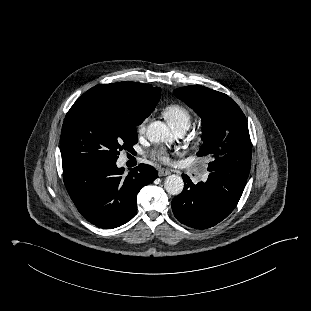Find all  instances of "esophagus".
Masks as SVG:
<instances>
[{
  "label": "esophagus",
  "mask_w": 311,
  "mask_h": 311,
  "mask_svg": "<svg viewBox=\"0 0 311 311\" xmlns=\"http://www.w3.org/2000/svg\"><path fill=\"white\" fill-rule=\"evenodd\" d=\"M170 174V171L168 169H165V168H161L158 170V175L159 176H166Z\"/></svg>",
  "instance_id": "1"
}]
</instances>
